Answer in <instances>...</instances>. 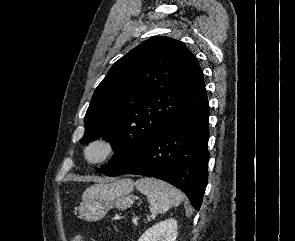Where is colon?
I'll list each match as a JSON object with an SVG mask.
<instances>
[{
  "label": "colon",
  "mask_w": 295,
  "mask_h": 241,
  "mask_svg": "<svg viewBox=\"0 0 295 241\" xmlns=\"http://www.w3.org/2000/svg\"><path fill=\"white\" fill-rule=\"evenodd\" d=\"M71 241H84L81 237L76 236Z\"/></svg>",
  "instance_id": "1"
}]
</instances>
